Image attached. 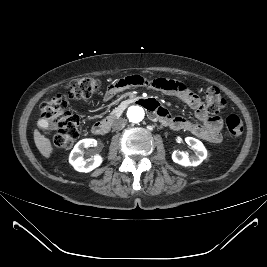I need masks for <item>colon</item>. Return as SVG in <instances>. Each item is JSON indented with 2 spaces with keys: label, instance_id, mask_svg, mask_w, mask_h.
Instances as JSON below:
<instances>
[{
  "label": "colon",
  "instance_id": "colon-1",
  "mask_svg": "<svg viewBox=\"0 0 267 267\" xmlns=\"http://www.w3.org/2000/svg\"><path fill=\"white\" fill-rule=\"evenodd\" d=\"M100 86V81L96 78L75 79L64 86L63 93H56L41 103V119L58 129L53 140L56 149H70L81 134L79 117L70 110L69 100H87L100 89ZM205 102L207 110L211 113H218L226 104L216 87L206 89ZM226 126L232 139H237L242 134L243 122L240 116L229 115L226 118Z\"/></svg>",
  "mask_w": 267,
  "mask_h": 267
}]
</instances>
